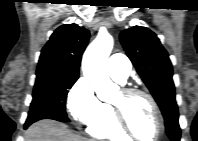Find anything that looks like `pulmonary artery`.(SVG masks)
<instances>
[{
    "mask_svg": "<svg viewBox=\"0 0 198 141\" xmlns=\"http://www.w3.org/2000/svg\"><path fill=\"white\" fill-rule=\"evenodd\" d=\"M131 65L127 57L117 53L110 56L107 62L109 75L118 82H125L129 76Z\"/></svg>",
    "mask_w": 198,
    "mask_h": 141,
    "instance_id": "pulmonary-artery-1",
    "label": "pulmonary artery"
}]
</instances>
